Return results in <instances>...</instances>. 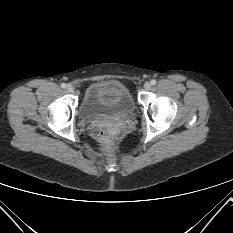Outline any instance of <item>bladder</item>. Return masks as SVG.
<instances>
[{
	"label": "bladder",
	"mask_w": 233,
	"mask_h": 233,
	"mask_svg": "<svg viewBox=\"0 0 233 233\" xmlns=\"http://www.w3.org/2000/svg\"><path fill=\"white\" fill-rule=\"evenodd\" d=\"M135 102L128 87L116 79L92 82L85 90L79 107L84 119H98L111 114H129Z\"/></svg>",
	"instance_id": "bladder-1"
}]
</instances>
